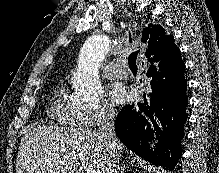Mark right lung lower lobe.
Listing matches in <instances>:
<instances>
[{
	"label": "right lung lower lobe",
	"mask_w": 219,
	"mask_h": 173,
	"mask_svg": "<svg viewBox=\"0 0 219 173\" xmlns=\"http://www.w3.org/2000/svg\"><path fill=\"white\" fill-rule=\"evenodd\" d=\"M146 75L149 90L124 106L115 121L118 138L127 148L154 165L173 170L181 157V140L187 120L185 64L179 54L157 55ZM156 140L154 151L148 141Z\"/></svg>",
	"instance_id": "right-lung-lower-lobe-1"
}]
</instances>
